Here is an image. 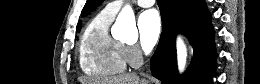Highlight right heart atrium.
I'll return each instance as SVG.
<instances>
[{
  "mask_svg": "<svg viewBox=\"0 0 260 84\" xmlns=\"http://www.w3.org/2000/svg\"><path fill=\"white\" fill-rule=\"evenodd\" d=\"M124 55L126 62L131 66H137L143 60L142 51L135 45L124 46Z\"/></svg>",
  "mask_w": 260,
  "mask_h": 84,
  "instance_id": "obj_1",
  "label": "right heart atrium"
}]
</instances>
